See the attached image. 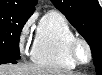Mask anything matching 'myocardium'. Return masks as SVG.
<instances>
[{
  "instance_id": "1",
  "label": "myocardium",
  "mask_w": 102,
  "mask_h": 75,
  "mask_svg": "<svg viewBox=\"0 0 102 75\" xmlns=\"http://www.w3.org/2000/svg\"><path fill=\"white\" fill-rule=\"evenodd\" d=\"M72 58L77 63H86L91 57L90 46L87 41L81 37H75L69 45Z\"/></svg>"
}]
</instances>
